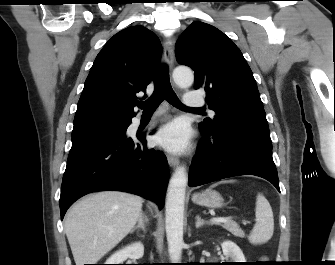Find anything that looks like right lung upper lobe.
Wrapping results in <instances>:
<instances>
[{
  "instance_id": "cb5924a9",
  "label": "right lung upper lobe",
  "mask_w": 335,
  "mask_h": 265,
  "mask_svg": "<svg viewBox=\"0 0 335 265\" xmlns=\"http://www.w3.org/2000/svg\"><path fill=\"white\" fill-rule=\"evenodd\" d=\"M161 51L156 34L143 26L115 34L97 55L85 81L74 126L131 122L139 103L136 94L145 92L152 81Z\"/></svg>"
}]
</instances>
